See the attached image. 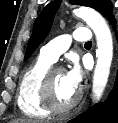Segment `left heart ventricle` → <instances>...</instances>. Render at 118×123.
<instances>
[{"mask_svg":"<svg viewBox=\"0 0 118 123\" xmlns=\"http://www.w3.org/2000/svg\"><path fill=\"white\" fill-rule=\"evenodd\" d=\"M53 91L56 102L66 105L75 97L78 90L68 83L65 72H58L53 79Z\"/></svg>","mask_w":118,"mask_h":123,"instance_id":"1","label":"left heart ventricle"}]
</instances>
